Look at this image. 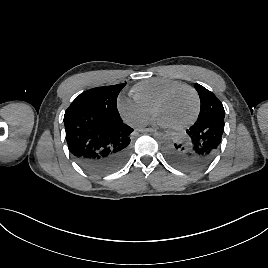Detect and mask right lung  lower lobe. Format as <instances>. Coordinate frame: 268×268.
Here are the masks:
<instances>
[{
    "label": "right lung lower lobe",
    "instance_id": "98d812e1",
    "mask_svg": "<svg viewBox=\"0 0 268 268\" xmlns=\"http://www.w3.org/2000/svg\"><path fill=\"white\" fill-rule=\"evenodd\" d=\"M64 125L69 152L90 174L105 176L127 161L134 129L119 115L80 110L64 117Z\"/></svg>",
    "mask_w": 268,
    "mask_h": 268
}]
</instances>
